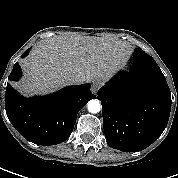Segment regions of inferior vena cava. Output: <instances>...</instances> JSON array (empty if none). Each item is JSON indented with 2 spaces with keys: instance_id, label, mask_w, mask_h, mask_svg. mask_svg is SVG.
Wrapping results in <instances>:
<instances>
[{
  "instance_id": "obj_1",
  "label": "inferior vena cava",
  "mask_w": 178,
  "mask_h": 178,
  "mask_svg": "<svg viewBox=\"0 0 178 178\" xmlns=\"http://www.w3.org/2000/svg\"><path fill=\"white\" fill-rule=\"evenodd\" d=\"M69 82L72 84H79L80 83V79L76 76H70L68 78Z\"/></svg>"
}]
</instances>
